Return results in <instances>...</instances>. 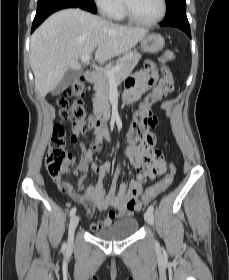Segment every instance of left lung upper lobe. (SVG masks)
<instances>
[{
  "mask_svg": "<svg viewBox=\"0 0 229 280\" xmlns=\"http://www.w3.org/2000/svg\"><path fill=\"white\" fill-rule=\"evenodd\" d=\"M166 19L173 18L180 14H186V2L185 0H166Z\"/></svg>",
  "mask_w": 229,
  "mask_h": 280,
  "instance_id": "obj_1",
  "label": "left lung upper lobe"
}]
</instances>
